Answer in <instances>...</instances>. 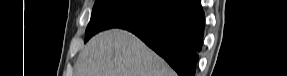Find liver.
<instances>
[{
    "mask_svg": "<svg viewBox=\"0 0 287 76\" xmlns=\"http://www.w3.org/2000/svg\"><path fill=\"white\" fill-rule=\"evenodd\" d=\"M76 76H176L132 33L112 29L94 36L79 53Z\"/></svg>",
    "mask_w": 287,
    "mask_h": 76,
    "instance_id": "liver-1",
    "label": "liver"
}]
</instances>
